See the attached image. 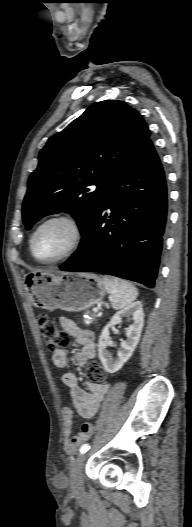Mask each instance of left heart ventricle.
Here are the masks:
<instances>
[{"mask_svg": "<svg viewBox=\"0 0 192 527\" xmlns=\"http://www.w3.org/2000/svg\"><path fill=\"white\" fill-rule=\"evenodd\" d=\"M73 232L65 221L45 225L35 239V252L41 259H51L63 253L71 243Z\"/></svg>", "mask_w": 192, "mask_h": 527, "instance_id": "b2bd125f", "label": "left heart ventricle"}]
</instances>
